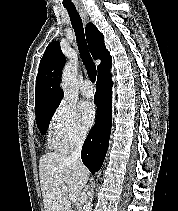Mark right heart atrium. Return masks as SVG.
<instances>
[{
    "label": "right heart atrium",
    "mask_w": 178,
    "mask_h": 211,
    "mask_svg": "<svg viewBox=\"0 0 178 211\" xmlns=\"http://www.w3.org/2000/svg\"><path fill=\"white\" fill-rule=\"evenodd\" d=\"M51 125L55 136L65 149L81 144L88 133L75 108L66 102H61L57 106Z\"/></svg>",
    "instance_id": "d8ad5b80"
}]
</instances>
